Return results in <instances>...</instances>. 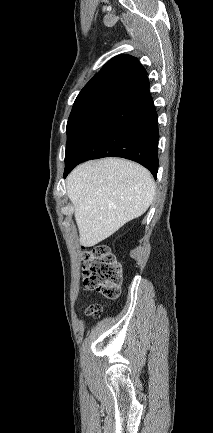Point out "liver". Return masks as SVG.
Instances as JSON below:
<instances>
[{
    "label": "liver",
    "instance_id": "6515ba94",
    "mask_svg": "<svg viewBox=\"0 0 213 433\" xmlns=\"http://www.w3.org/2000/svg\"><path fill=\"white\" fill-rule=\"evenodd\" d=\"M80 242L94 246L152 204L156 185L143 166L119 158L88 161L66 179Z\"/></svg>",
    "mask_w": 213,
    "mask_h": 433
}]
</instances>
